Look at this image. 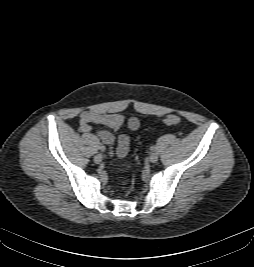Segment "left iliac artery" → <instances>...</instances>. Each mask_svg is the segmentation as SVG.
<instances>
[{"label":"left iliac artery","mask_w":254,"mask_h":267,"mask_svg":"<svg viewBox=\"0 0 254 267\" xmlns=\"http://www.w3.org/2000/svg\"><path fill=\"white\" fill-rule=\"evenodd\" d=\"M150 149H151V151H155L156 150V147L155 146H152Z\"/></svg>","instance_id":"obj_1"}]
</instances>
